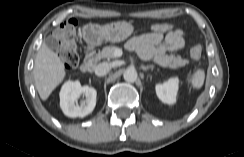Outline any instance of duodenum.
I'll use <instances>...</instances> for the list:
<instances>
[{
  "label": "duodenum",
  "instance_id": "obj_1",
  "mask_svg": "<svg viewBox=\"0 0 244 157\" xmlns=\"http://www.w3.org/2000/svg\"><path fill=\"white\" fill-rule=\"evenodd\" d=\"M99 59V52L97 49H90L86 53L85 60L81 66L84 73H90L94 70Z\"/></svg>",
  "mask_w": 244,
  "mask_h": 157
}]
</instances>
